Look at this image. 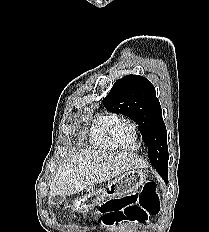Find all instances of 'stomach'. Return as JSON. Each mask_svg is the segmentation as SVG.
<instances>
[{"instance_id": "0dacf381", "label": "stomach", "mask_w": 209, "mask_h": 232, "mask_svg": "<svg viewBox=\"0 0 209 232\" xmlns=\"http://www.w3.org/2000/svg\"><path fill=\"white\" fill-rule=\"evenodd\" d=\"M146 181V174L142 170L125 171L124 175L116 176L114 182H109L108 186L97 188L84 198L83 194L79 195L77 201H72L71 205L75 206V211H94V206L90 203L102 205L108 199H121L123 194L134 193ZM79 206V207H78Z\"/></svg>"}]
</instances>
